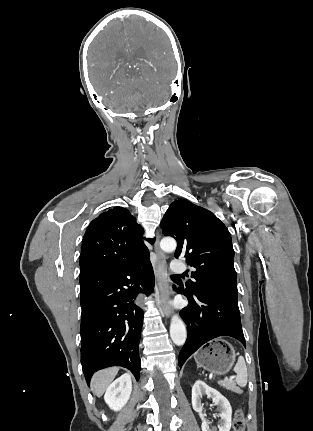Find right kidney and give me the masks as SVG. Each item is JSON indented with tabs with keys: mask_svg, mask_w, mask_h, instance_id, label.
<instances>
[{
	"mask_svg": "<svg viewBox=\"0 0 313 431\" xmlns=\"http://www.w3.org/2000/svg\"><path fill=\"white\" fill-rule=\"evenodd\" d=\"M131 392V375L123 374L108 386L104 400L112 410L118 411L128 402Z\"/></svg>",
	"mask_w": 313,
	"mask_h": 431,
	"instance_id": "obj_1",
	"label": "right kidney"
}]
</instances>
